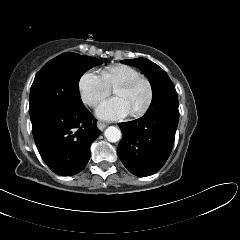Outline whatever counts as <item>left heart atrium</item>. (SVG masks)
<instances>
[{
	"instance_id": "39dd6f15",
	"label": "left heart atrium",
	"mask_w": 240,
	"mask_h": 240,
	"mask_svg": "<svg viewBox=\"0 0 240 240\" xmlns=\"http://www.w3.org/2000/svg\"><path fill=\"white\" fill-rule=\"evenodd\" d=\"M131 108L122 97H112L103 101L96 109V115L102 120H118L131 113Z\"/></svg>"
}]
</instances>
